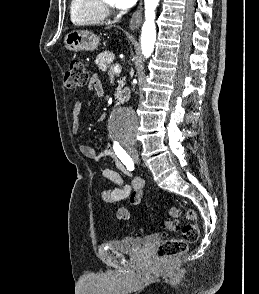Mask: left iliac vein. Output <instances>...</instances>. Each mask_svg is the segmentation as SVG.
Segmentation results:
<instances>
[{
	"label": "left iliac vein",
	"mask_w": 259,
	"mask_h": 294,
	"mask_svg": "<svg viewBox=\"0 0 259 294\" xmlns=\"http://www.w3.org/2000/svg\"><path fill=\"white\" fill-rule=\"evenodd\" d=\"M131 156L136 163H139V156H138L137 151H132Z\"/></svg>",
	"instance_id": "obj_1"
}]
</instances>
